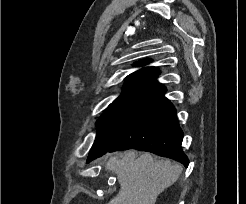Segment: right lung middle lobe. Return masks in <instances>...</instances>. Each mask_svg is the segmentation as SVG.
<instances>
[{"label": "right lung middle lobe", "instance_id": "dd1d6c3e", "mask_svg": "<svg viewBox=\"0 0 246 204\" xmlns=\"http://www.w3.org/2000/svg\"><path fill=\"white\" fill-rule=\"evenodd\" d=\"M134 101H114L97 121V135L88 158L107 153L115 141L121 123Z\"/></svg>", "mask_w": 246, "mask_h": 204}]
</instances>
